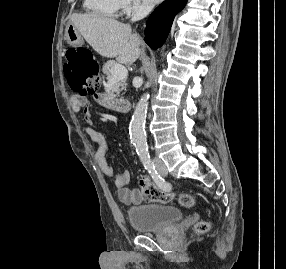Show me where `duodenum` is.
I'll return each instance as SVG.
<instances>
[{"instance_id": "obj_1", "label": "duodenum", "mask_w": 286, "mask_h": 269, "mask_svg": "<svg viewBox=\"0 0 286 269\" xmlns=\"http://www.w3.org/2000/svg\"><path fill=\"white\" fill-rule=\"evenodd\" d=\"M116 106L119 111L123 113H126L131 109V103L126 100L117 101Z\"/></svg>"}]
</instances>
